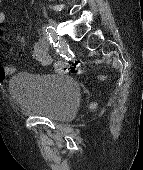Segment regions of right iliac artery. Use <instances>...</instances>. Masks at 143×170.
I'll return each instance as SVG.
<instances>
[{"instance_id": "1", "label": "right iliac artery", "mask_w": 143, "mask_h": 170, "mask_svg": "<svg viewBox=\"0 0 143 170\" xmlns=\"http://www.w3.org/2000/svg\"><path fill=\"white\" fill-rule=\"evenodd\" d=\"M44 32L49 37V39L51 40V43H53L54 47H57L59 42H56V38L54 39V41H52L53 27L47 26L45 28Z\"/></svg>"}]
</instances>
